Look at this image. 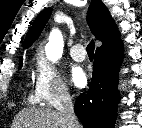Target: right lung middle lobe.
<instances>
[{
	"label": "right lung middle lobe",
	"mask_w": 142,
	"mask_h": 128,
	"mask_svg": "<svg viewBox=\"0 0 142 128\" xmlns=\"http://www.w3.org/2000/svg\"><path fill=\"white\" fill-rule=\"evenodd\" d=\"M20 67H22V62L20 63Z\"/></svg>",
	"instance_id": "1"
}]
</instances>
